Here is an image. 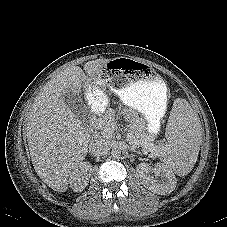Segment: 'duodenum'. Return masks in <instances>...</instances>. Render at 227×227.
Masks as SVG:
<instances>
[{
  "label": "duodenum",
  "mask_w": 227,
  "mask_h": 227,
  "mask_svg": "<svg viewBox=\"0 0 227 227\" xmlns=\"http://www.w3.org/2000/svg\"><path fill=\"white\" fill-rule=\"evenodd\" d=\"M97 121H98V118L95 117V116H92L89 120V123H88V129L90 131H93L97 125Z\"/></svg>",
  "instance_id": "410a0bca"
}]
</instances>
